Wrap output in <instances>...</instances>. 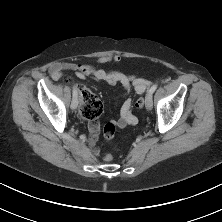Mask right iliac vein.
<instances>
[{"label":"right iliac vein","mask_w":222,"mask_h":222,"mask_svg":"<svg viewBox=\"0 0 222 222\" xmlns=\"http://www.w3.org/2000/svg\"><path fill=\"white\" fill-rule=\"evenodd\" d=\"M78 106V100L77 98H73L72 103H71V109L75 110Z\"/></svg>","instance_id":"63e3f726"}]
</instances>
